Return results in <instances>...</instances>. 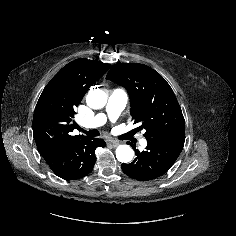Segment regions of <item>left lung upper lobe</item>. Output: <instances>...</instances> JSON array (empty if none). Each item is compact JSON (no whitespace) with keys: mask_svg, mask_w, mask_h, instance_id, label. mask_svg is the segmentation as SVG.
<instances>
[{"mask_svg":"<svg viewBox=\"0 0 236 236\" xmlns=\"http://www.w3.org/2000/svg\"><path fill=\"white\" fill-rule=\"evenodd\" d=\"M106 79L127 90L132 119L146 130V139L185 132L176 96L158 72L143 64L118 63L111 67Z\"/></svg>","mask_w":236,"mask_h":236,"instance_id":"5c2ea615","label":"left lung upper lobe"}]
</instances>
